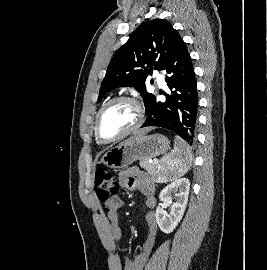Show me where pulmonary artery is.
<instances>
[{
	"instance_id": "1",
	"label": "pulmonary artery",
	"mask_w": 267,
	"mask_h": 270,
	"mask_svg": "<svg viewBox=\"0 0 267 270\" xmlns=\"http://www.w3.org/2000/svg\"><path fill=\"white\" fill-rule=\"evenodd\" d=\"M155 76H156L158 85H159L160 87H164V86H165V80H164V77H163L161 74L157 73V72L155 73Z\"/></svg>"
}]
</instances>
